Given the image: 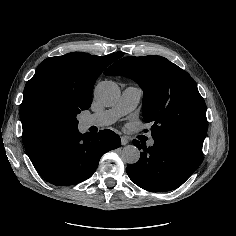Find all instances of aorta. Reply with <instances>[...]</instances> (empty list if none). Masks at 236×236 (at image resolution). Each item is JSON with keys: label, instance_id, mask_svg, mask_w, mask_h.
<instances>
[{"label": "aorta", "instance_id": "1", "mask_svg": "<svg viewBox=\"0 0 236 236\" xmlns=\"http://www.w3.org/2000/svg\"><path fill=\"white\" fill-rule=\"evenodd\" d=\"M94 96L101 104L112 106L119 100L120 89L112 81H103L96 86ZM121 157L124 162L134 164L140 159V151L134 145H127L122 149Z\"/></svg>", "mask_w": 236, "mask_h": 236}]
</instances>
